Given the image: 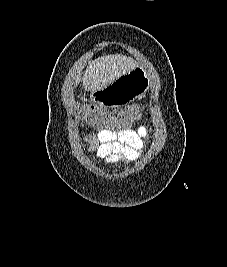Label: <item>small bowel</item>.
<instances>
[{
	"instance_id": "c3829d8e",
	"label": "small bowel",
	"mask_w": 227,
	"mask_h": 267,
	"mask_svg": "<svg viewBox=\"0 0 227 267\" xmlns=\"http://www.w3.org/2000/svg\"><path fill=\"white\" fill-rule=\"evenodd\" d=\"M154 134L152 126L140 125L137 129L100 130L85 137L89 152L112 164L134 161L140 157L143 140Z\"/></svg>"
}]
</instances>
